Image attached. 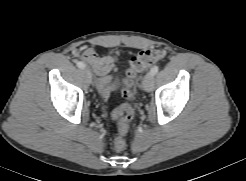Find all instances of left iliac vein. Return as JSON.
<instances>
[{
  "instance_id": "left-iliac-vein-1",
  "label": "left iliac vein",
  "mask_w": 246,
  "mask_h": 181,
  "mask_svg": "<svg viewBox=\"0 0 246 181\" xmlns=\"http://www.w3.org/2000/svg\"><path fill=\"white\" fill-rule=\"evenodd\" d=\"M154 75L149 72L145 75L142 81V89L145 91H151L153 88Z\"/></svg>"
}]
</instances>
